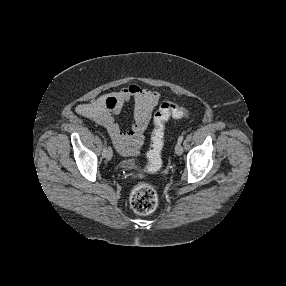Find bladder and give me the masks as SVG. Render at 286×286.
Masks as SVG:
<instances>
[{
	"label": "bladder",
	"mask_w": 286,
	"mask_h": 286,
	"mask_svg": "<svg viewBox=\"0 0 286 286\" xmlns=\"http://www.w3.org/2000/svg\"><path fill=\"white\" fill-rule=\"evenodd\" d=\"M134 164V161L133 160H130V159H123L120 161L119 165L120 167L122 168H129V167H132Z\"/></svg>",
	"instance_id": "31cf9c89"
}]
</instances>
